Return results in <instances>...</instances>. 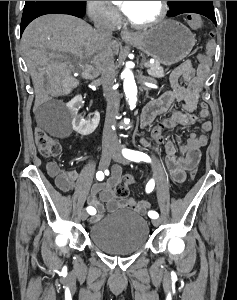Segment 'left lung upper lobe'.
<instances>
[{
	"label": "left lung upper lobe",
	"instance_id": "5c2ea615",
	"mask_svg": "<svg viewBox=\"0 0 237 300\" xmlns=\"http://www.w3.org/2000/svg\"><path fill=\"white\" fill-rule=\"evenodd\" d=\"M168 15L174 17L182 13H198L202 10H214L212 1H168Z\"/></svg>",
	"mask_w": 237,
	"mask_h": 300
}]
</instances>
